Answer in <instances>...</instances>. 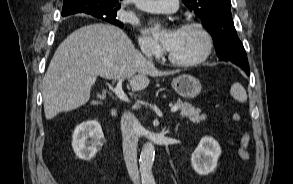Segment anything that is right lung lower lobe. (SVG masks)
<instances>
[{"label":"right lung lower lobe","instance_id":"right-lung-lower-lobe-1","mask_svg":"<svg viewBox=\"0 0 293 184\" xmlns=\"http://www.w3.org/2000/svg\"><path fill=\"white\" fill-rule=\"evenodd\" d=\"M103 20H105V21H108V22H110V23H113V24H115V25H117V26H119V27H123V24L121 23V22H117V21H111V20H106V19H103Z\"/></svg>","mask_w":293,"mask_h":184}]
</instances>
